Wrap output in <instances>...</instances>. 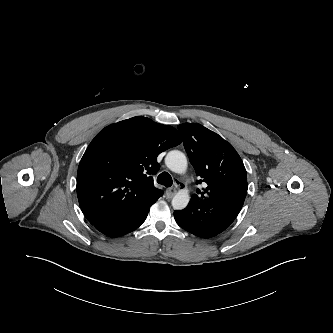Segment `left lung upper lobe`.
<instances>
[{
  "instance_id": "left-lung-upper-lobe-1",
  "label": "left lung upper lobe",
  "mask_w": 333,
  "mask_h": 333,
  "mask_svg": "<svg viewBox=\"0 0 333 333\" xmlns=\"http://www.w3.org/2000/svg\"><path fill=\"white\" fill-rule=\"evenodd\" d=\"M185 150L200 180L195 198H206L225 191L247 193V174L244 164L230 143L200 124L178 125Z\"/></svg>"
}]
</instances>
